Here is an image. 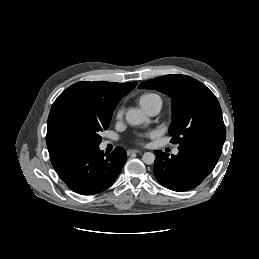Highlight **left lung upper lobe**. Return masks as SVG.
Returning a JSON list of instances; mask_svg holds the SVG:
<instances>
[{"label": "left lung upper lobe", "mask_w": 259, "mask_h": 259, "mask_svg": "<svg viewBox=\"0 0 259 259\" xmlns=\"http://www.w3.org/2000/svg\"><path fill=\"white\" fill-rule=\"evenodd\" d=\"M139 88L155 89L171 98L169 135L179 147L198 141L224 143L226 129L215 95L186 75H166L142 82Z\"/></svg>", "instance_id": "left-lung-upper-lobe-1"}]
</instances>
